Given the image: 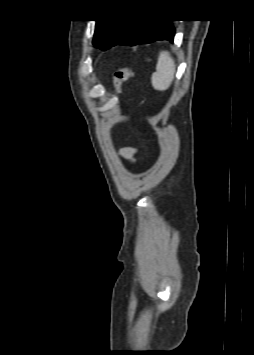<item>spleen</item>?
<instances>
[{
    "label": "spleen",
    "instance_id": "obj_1",
    "mask_svg": "<svg viewBox=\"0 0 254 355\" xmlns=\"http://www.w3.org/2000/svg\"><path fill=\"white\" fill-rule=\"evenodd\" d=\"M175 61L167 51H161L156 65V72L152 74V86L159 91L167 90L175 74Z\"/></svg>",
    "mask_w": 254,
    "mask_h": 355
}]
</instances>
